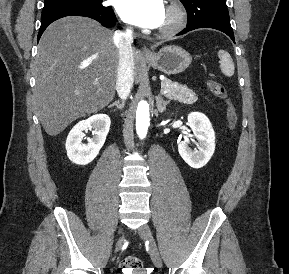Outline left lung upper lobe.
<instances>
[{
  "mask_svg": "<svg viewBox=\"0 0 289 274\" xmlns=\"http://www.w3.org/2000/svg\"><path fill=\"white\" fill-rule=\"evenodd\" d=\"M188 15V25L206 20L229 21L226 0H180Z\"/></svg>",
  "mask_w": 289,
  "mask_h": 274,
  "instance_id": "left-lung-upper-lobe-1",
  "label": "left lung upper lobe"
}]
</instances>
